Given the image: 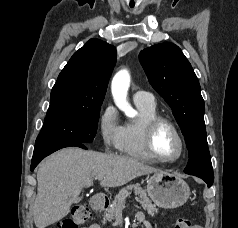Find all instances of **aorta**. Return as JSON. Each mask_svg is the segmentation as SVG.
<instances>
[{
  "instance_id": "obj_1",
  "label": "aorta",
  "mask_w": 238,
  "mask_h": 228,
  "mask_svg": "<svg viewBox=\"0 0 238 228\" xmlns=\"http://www.w3.org/2000/svg\"><path fill=\"white\" fill-rule=\"evenodd\" d=\"M130 86V75L127 70H121L114 76L111 84L112 95L115 104L125 112L127 116H133L135 111L127 101V92Z\"/></svg>"
}]
</instances>
